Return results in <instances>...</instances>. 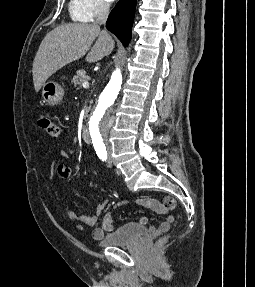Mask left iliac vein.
Wrapping results in <instances>:
<instances>
[{
	"label": "left iliac vein",
	"mask_w": 255,
	"mask_h": 287,
	"mask_svg": "<svg viewBox=\"0 0 255 287\" xmlns=\"http://www.w3.org/2000/svg\"><path fill=\"white\" fill-rule=\"evenodd\" d=\"M110 154H111V148L108 147V155H109V160H108V163H107V166H108V167H111V165H112V161H111V158H110Z\"/></svg>",
	"instance_id": "1"
}]
</instances>
